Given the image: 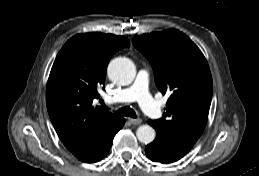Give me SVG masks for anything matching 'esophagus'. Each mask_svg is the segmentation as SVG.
<instances>
[{"label": "esophagus", "instance_id": "esophagus-1", "mask_svg": "<svg viewBox=\"0 0 259 176\" xmlns=\"http://www.w3.org/2000/svg\"><path fill=\"white\" fill-rule=\"evenodd\" d=\"M128 120L132 125H139L142 123V119L140 118H129Z\"/></svg>", "mask_w": 259, "mask_h": 176}]
</instances>
